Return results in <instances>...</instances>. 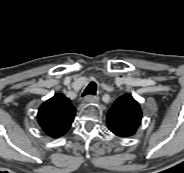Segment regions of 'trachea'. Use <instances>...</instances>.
I'll return each instance as SVG.
<instances>
[{
  "label": "trachea",
  "instance_id": "obj_1",
  "mask_svg": "<svg viewBox=\"0 0 184 173\" xmlns=\"http://www.w3.org/2000/svg\"><path fill=\"white\" fill-rule=\"evenodd\" d=\"M97 91V85L95 82H90V84L86 87V89L84 90L82 96L85 95H95Z\"/></svg>",
  "mask_w": 184,
  "mask_h": 173
}]
</instances>
